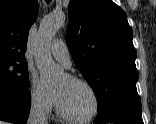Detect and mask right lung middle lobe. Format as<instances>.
Wrapping results in <instances>:
<instances>
[{"mask_svg":"<svg viewBox=\"0 0 156 124\" xmlns=\"http://www.w3.org/2000/svg\"><path fill=\"white\" fill-rule=\"evenodd\" d=\"M29 75L25 62L0 61V87L27 92Z\"/></svg>","mask_w":156,"mask_h":124,"instance_id":"obj_1","label":"right lung middle lobe"}]
</instances>
